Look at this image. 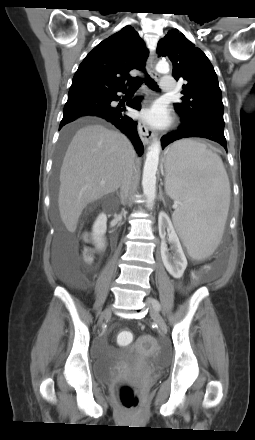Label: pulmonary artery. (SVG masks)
<instances>
[{"label": "pulmonary artery", "mask_w": 255, "mask_h": 440, "mask_svg": "<svg viewBox=\"0 0 255 440\" xmlns=\"http://www.w3.org/2000/svg\"><path fill=\"white\" fill-rule=\"evenodd\" d=\"M161 88L164 92H173L175 89V80L171 75H165L160 82Z\"/></svg>", "instance_id": "e3ab8cb5"}]
</instances>
